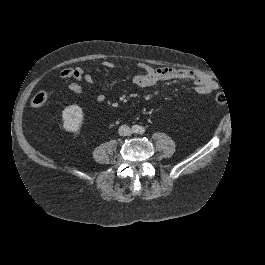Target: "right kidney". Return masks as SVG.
Here are the masks:
<instances>
[{
    "label": "right kidney",
    "mask_w": 265,
    "mask_h": 265,
    "mask_svg": "<svg viewBox=\"0 0 265 265\" xmlns=\"http://www.w3.org/2000/svg\"><path fill=\"white\" fill-rule=\"evenodd\" d=\"M63 127L68 132H77L83 120L82 109L77 105L66 107L63 112Z\"/></svg>",
    "instance_id": "right-kidney-1"
}]
</instances>
